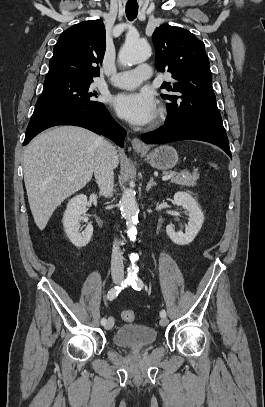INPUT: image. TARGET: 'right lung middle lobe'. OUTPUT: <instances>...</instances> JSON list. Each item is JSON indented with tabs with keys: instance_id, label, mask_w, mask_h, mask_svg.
Here are the masks:
<instances>
[{
	"instance_id": "right-lung-middle-lobe-1",
	"label": "right lung middle lobe",
	"mask_w": 265,
	"mask_h": 407,
	"mask_svg": "<svg viewBox=\"0 0 265 407\" xmlns=\"http://www.w3.org/2000/svg\"><path fill=\"white\" fill-rule=\"evenodd\" d=\"M92 82L71 78L45 79L29 123L69 110L102 105L96 100L97 92L90 88Z\"/></svg>"
}]
</instances>
